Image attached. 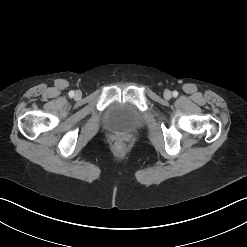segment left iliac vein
Instances as JSON below:
<instances>
[{"label": "left iliac vein", "mask_w": 247, "mask_h": 247, "mask_svg": "<svg viewBox=\"0 0 247 247\" xmlns=\"http://www.w3.org/2000/svg\"><path fill=\"white\" fill-rule=\"evenodd\" d=\"M172 97V93L169 90L164 91V98L170 99Z\"/></svg>", "instance_id": "4c4485c4"}]
</instances>
